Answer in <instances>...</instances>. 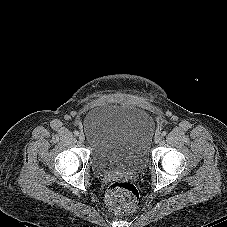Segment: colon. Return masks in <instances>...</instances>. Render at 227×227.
I'll use <instances>...</instances> for the list:
<instances>
[{
	"label": "colon",
	"instance_id": "colon-1",
	"mask_svg": "<svg viewBox=\"0 0 227 227\" xmlns=\"http://www.w3.org/2000/svg\"><path fill=\"white\" fill-rule=\"evenodd\" d=\"M105 199L116 213L127 215L136 209L139 192L135 185L128 181H114L108 186Z\"/></svg>",
	"mask_w": 227,
	"mask_h": 227
}]
</instances>
